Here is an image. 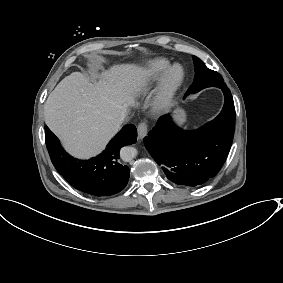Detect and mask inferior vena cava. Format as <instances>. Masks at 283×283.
Segmentation results:
<instances>
[{
	"instance_id": "obj_1",
	"label": "inferior vena cava",
	"mask_w": 283,
	"mask_h": 283,
	"mask_svg": "<svg viewBox=\"0 0 283 283\" xmlns=\"http://www.w3.org/2000/svg\"><path fill=\"white\" fill-rule=\"evenodd\" d=\"M126 117H127V114L122 112L121 115L119 116V122L123 123L125 121Z\"/></svg>"
}]
</instances>
